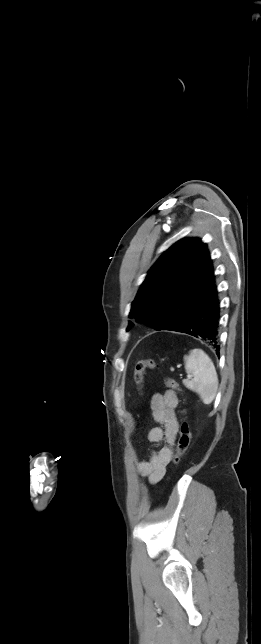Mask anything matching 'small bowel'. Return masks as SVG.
I'll list each match as a JSON object with an SVG mask.
<instances>
[{"mask_svg":"<svg viewBox=\"0 0 261 644\" xmlns=\"http://www.w3.org/2000/svg\"><path fill=\"white\" fill-rule=\"evenodd\" d=\"M178 405L177 395L170 390L155 393L150 401L152 417L159 426L148 432L151 443H164V446L154 451L148 461L136 463L138 473L152 484L157 483L165 474L166 466L171 461L176 445L179 423L176 414ZM145 490V487H143Z\"/></svg>","mask_w":261,"mask_h":644,"instance_id":"1","label":"small bowel"}]
</instances>
